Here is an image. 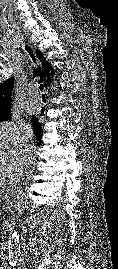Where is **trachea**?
Listing matches in <instances>:
<instances>
[{
  "label": "trachea",
  "instance_id": "obj_1",
  "mask_svg": "<svg viewBox=\"0 0 118 269\" xmlns=\"http://www.w3.org/2000/svg\"><path fill=\"white\" fill-rule=\"evenodd\" d=\"M25 49L29 53V55L31 56L33 62H36L35 56H34V53H33L32 49L29 46H27V45L25 46ZM39 89H40L41 92H43L44 85L43 84H40ZM42 95H45V94H42Z\"/></svg>",
  "mask_w": 118,
  "mask_h": 269
}]
</instances>
